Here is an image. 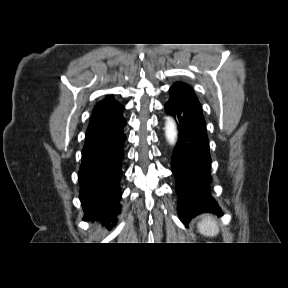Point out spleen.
<instances>
[{
  "label": "spleen",
  "mask_w": 288,
  "mask_h": 288,
  "mask_svg": "<svg viewBox=\"0 0 288 288\" xmlns=\"http://www.w3.org/2000/svg\"><path fill=\"white\" fill-rule=\"evenodd\" d=\"M199 232L207 237H214L219 233L217 221L210 215H205L198 223Z\"/></svg>",
  "instance_id": "3e777b00"
}]
</instances>
